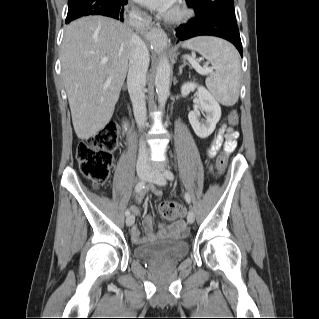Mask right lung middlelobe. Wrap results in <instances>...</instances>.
Wrapping results in <instances>:
<instances>
[{"mask_svg":"<svg viewBox=\"0 0 319 319\" xmlns=\"http://www.w3.org/2000/svg\"><path fill=\"white\" fill-rule=\"evenodd\" d=\"M114 0H68V14L66 21H72L81 15L101 6L110 5Z\"/></svg>","mask_w":319,"mask_h":319,"instance_id":"obj_1","label":"right lung middle lobe"}]
</instances>
